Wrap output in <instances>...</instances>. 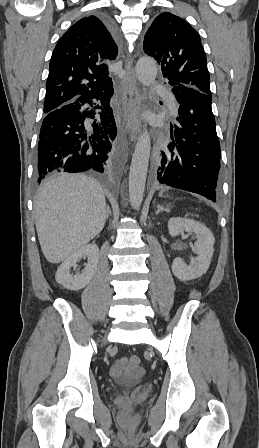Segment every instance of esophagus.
I'll return each mask as SVG.
<instances>
[{
    "mask_svg": "<svg viewBox=\"0 0 259 448\" xmlns=\"http://www.w3.org/2000/svg\"><path fill=\"white\" fill-rule=\"evenodd\" d=\"M124 70L125 78L123 79L122 85L124 89V100L127 111L126 127L129 135L132 138H135L141 127L140 117L143 98L139 94L132 57H127Z\"/></svg>",
    "mask_w": 259,
    "mask_h": 448,
    "instance_id": "34e87169",
    "label": "esophagus"
}]
</instances>
